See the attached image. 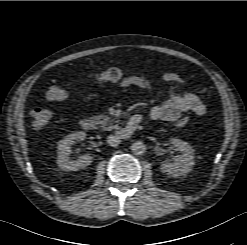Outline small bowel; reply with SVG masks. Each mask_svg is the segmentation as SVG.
I'll return each mask as SVG.
<instances>
[{
    "instance_id": "c3829d8e",
    "label": "small bowel",
    "mask_w": 247,
    "mask_h": 245,
    "mask_svg": "<svg viewBox=\"0 0 247 245\" xmlns=\"http://www.w3.org/2000/svg\"><path fill=\"white\" fill-rule=\"evenodd\" d=\"M162 79L170 84L169 97L165 102L151 109L150 118L152 120L174 122L179 120L184 113H194L199 116L206 114V106L197 95L182 91L181 85L184 81L179 75L165 73ZM118 85L120 88L135 86L148 92L153 89L151 81L145 74L125 77L118 82Z\"/></svg>"
}]
</instances>
